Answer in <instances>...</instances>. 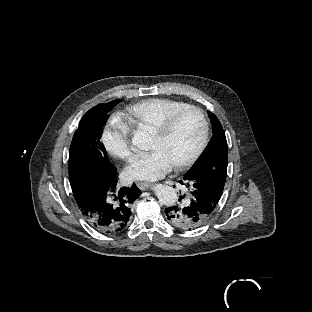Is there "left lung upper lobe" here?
Wrapping results in <instances>:
<instances>
[{
  "label": "left lung upper lobe",
  "instance_id": "1",
  "mask_svg": "<svg viewBox=\"0 0 312 312\" xmlns=\"http://www.w3.org/2000/svg\"><path fill=\"white\" fill-rule=\"evenodd\" d=\"M208 115L213 126L212 139L184 179L191 180L206 173L227 171L228 151L224 130L215 114L209 111Z\"/></svg>",
  "mask_w": 312,
  "mask_h": 312
}]
</instances>
